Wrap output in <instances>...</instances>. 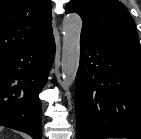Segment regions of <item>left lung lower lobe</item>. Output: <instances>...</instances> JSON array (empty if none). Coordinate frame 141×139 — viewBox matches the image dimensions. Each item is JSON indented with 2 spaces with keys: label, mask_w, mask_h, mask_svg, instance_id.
Segmentation results:
<instances>
[{
  "label": "left lung lower lobe",
  "mask_w": 141,
  "mask_h": 139,
  "mask_svg": "<svg viewBox=\"0 0 141 139\" xmlns=\"http://www.w3.org/2000/svg\"><path fill=\"white\" fill-rule=\"evenodd\" d=\"M76 138L141 139V52L81 36Z\"/></svg>",
  "instance_id": "obj_1"
}]
</instances>
